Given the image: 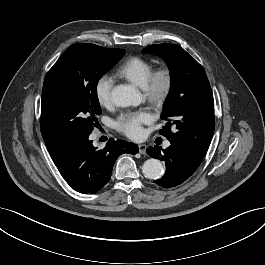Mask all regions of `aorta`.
Listing matches in <instances>:
<instances>
[{"label": "aorta", "mask_w": 265, "mask_h": 265, "mask_svg": "<svg viewBox=\"0 0 265 265\" xmlns=\"http://www.w3.org/2000/svg\"><path fill=\"white\" fill-rule=\"evenodd\" d=\"M111 99L118 107L137 106L141 103V94L131 85H117L111 92ZM142 172L148 179L161 178L164 168L158 159L150 158L142 166Z\"/></svg>", "instance_id": "obj_1"}]
</instances>
